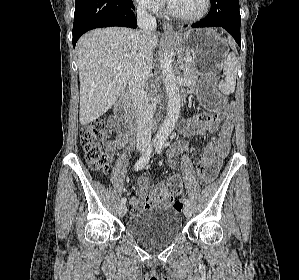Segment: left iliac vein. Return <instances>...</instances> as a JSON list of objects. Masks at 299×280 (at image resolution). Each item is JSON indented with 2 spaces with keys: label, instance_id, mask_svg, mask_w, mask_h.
I'll use <instances>...</instances> for the list:
<instances>
[{
  "label": "left iliac vein",
  "instance_id": "1",
  "mask_svg": "<svg viewBox=\"0 0 299 280\" xmlns=\"http://www.w3.org/2000/svg\"><path fill=\"white\" fill-rule=\"evenodd\" d=\"M184 215L186 217H190L191 216V208L189 206H185V208H184Z\"/></svg>",
  "mask_w": 299,
  "mask_h": 280
}]
</instances>
